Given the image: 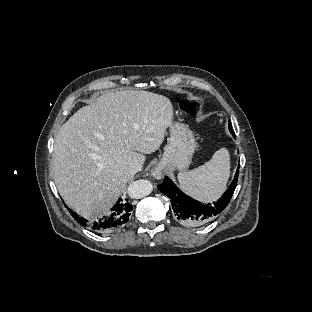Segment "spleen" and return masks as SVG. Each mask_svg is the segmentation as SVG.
Segmentation results:
<instances>
[{
	"mask_svg": "<svg viewBox=\"0 0 312 312\" xmlns=\"http://www.w3.org/2000/svg\"><path fill=\"white\" fill-rule=\"evenodd\" d=\"M229 173V153L220 149L204 165L180 172L178 179L185 192L202 202H212L225 190Z\"/></svg>",
	"mask_w": 312,
	"mask_h": 312,
	"instance_id": "obj_1",
	"label": "spleen"
}]
</instances>
